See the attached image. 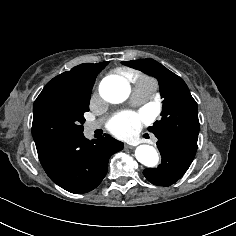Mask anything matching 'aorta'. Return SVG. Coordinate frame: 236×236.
<instances>
[{
	"label": "aorta",
	"mask_w": 236,
	"mask_h": 236,
	"mask_svg": "<svg viewBox=\"0 0 236 236\" xmlns=\"http://www.w3.org/2000/svg\"><path fill=\"white\" fill-rule=\"evenodd\" d=\"M100 95L110 103H121L130 95L129 83L121 76L104 78L99 87ZM135 157L141 164L147 167H155L159 162V156L153 146L142 144L135 150Z\"/></svg>",
	"instance_id": "1"
}]
</instances>
